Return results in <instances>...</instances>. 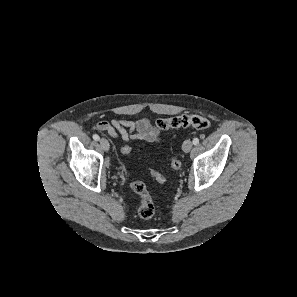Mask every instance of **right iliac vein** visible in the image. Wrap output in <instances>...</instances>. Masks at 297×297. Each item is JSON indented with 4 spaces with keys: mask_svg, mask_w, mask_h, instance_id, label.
<instances>
[{
    "mask_svg": "<svg viewBox=\"0 0 297 297\" xmlns=\"http://www.w3.org/2000/svg\"><path fill=\"white\" fill-rule=\"evenodd\" d=\"M100 146L104 151H108L110 148L109 142L104 138L100 139Z\"/></svg>",
    "mask_w": 297,
    "mask_h": 297,
    "instance_id": "63e3f726",
    "label": "right iliac vein"
}]
</instances>
